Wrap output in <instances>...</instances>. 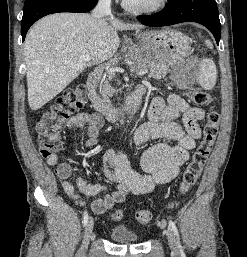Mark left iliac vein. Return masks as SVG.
Segmentation results:
<instances>
[{
  "label": "left iliac vein",
  "mask_w": 247,
  "mask_h": 257,
  "mask_svg": "<svg viewBox=\"0 0 247 257\" xmlns=\"http://www.w3.org/2000/svg\"><path fill=\"white\" fill-rule=\"evenodd\" d=\"M165 234L167 236L168 244H169L172 252L174 254H178V247H177V243H176L173 233L171 232V230L169 228H167L165 230Z\"/></svg>",
  "instance_id": "1"
}]
</instances>
